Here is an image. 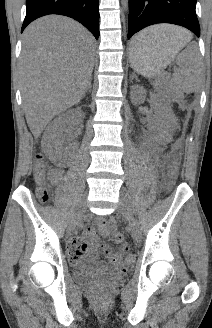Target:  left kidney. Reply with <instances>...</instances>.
<instances>
[{"label": "left kidney", "mask_w": 212, "mask_h": 328, "mask_svg": "<svg viewBox=\"0 0 212 328\" xmlns=\"http://www.w3.org/2000/svg\"><path fill=\"white\" fill-rule=\"evenodd\" d=\"M146 91L142 87L134 90L133 102L140 104L145 99ZM151 106L155 112L152 124L156 128L159 141H169L172 138L177 120L169 103L165 102L157 94L151 93Z\"/></svg>", "instance_id": "left-kidney-1"}]
</instances>
